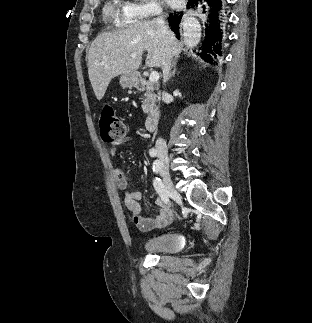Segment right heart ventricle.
Masks as SVG:
<instances>
[{
    "label": "right heart ventricle",
    "mask_w": 312,
    "mask_h": 323,
    "mask_svg": "<svg viewBox=\"0 0 312 323\" xmlns=\"http://www.w3.org/2000/svg\"><path fill=\"white\" fill-rule=\"evenodd\" d=\"M101 15L100 18L101 20H112L113 15L110 12V9H101Z\"/></svg>",
    "instance_id": "1"
}]
</instances>
